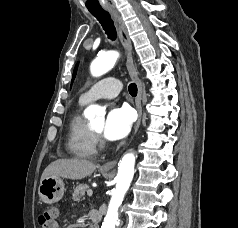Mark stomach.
I'll return each instance as SVG.
<instances>
[{"instance_id": "obj_1", "label": "stomach", "mask_w": 238, "mask_h": 228, "mask_svg": "<svg viewBox=\"0 0 238 228\" xmlns=\"http://www.w3.org/2000/svg\"><path fill=\"white\" fill-rule=\"evenodd\" d=\"M107 175V171H103ZM40 199L47 204L58 202L64 195V183L60 177H46L40 182L38 188Z\"/></svg>"}]
</instances>
